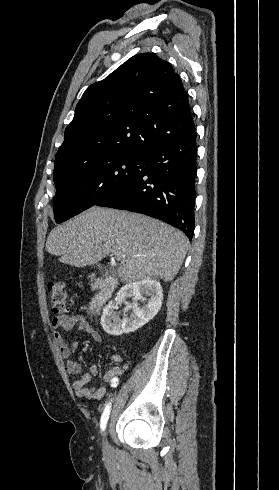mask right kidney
<instances>
[{
  "label": "right kidney",
  "mask_w": 279,
  "mask_h": 490,
  "mask_svg": "<svg viewBox=\"0 0 279 490\" xmlns=\"http://www.w3.org/2000/svg\"><path fill=\"white\" fill-rule=\"evenodd\" d=\"M144 296L149 298L147 304L139 308L137 300H142ZM126 298H133V304H130L129 308L132 310L130 318H127L125 312L120 318L118 316L119 306ZM163 300V290L160 282L157 280H140V282H130L125 284L121 290H119L116 298L111 300L104 308L100 320V324L107 334L110 336H122V334H130L135 332L138 328L145 326L147 322H150L156 314H158ZM128 310V308H127Z\"/></svg>",
  "instance_id": "obj_1"
}]
</instances>
